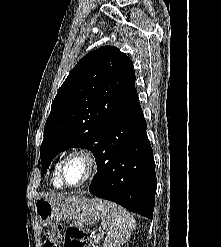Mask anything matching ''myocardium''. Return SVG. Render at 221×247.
Returning <instances> with one entry per match:
<instances>
[{
	"label": "myocardium",
	"instance_id": "f54148a6",
	"mask_svg": "<svg viewBox=\"0 0 221 247\" xmlns=\"http://www.w3.org/2000/svg\"><path fill=\"white\" fill-rule=\"evenodd\" d=\"M72 158H81L86 165V174L77 184H69L65 178V168L68 161ZM97 171V158L95 153L86 147H76L70 150L62 159L59 169V177L63 185L69 188H79L89 182Z\"/></svg>",
	"mask_w": 221,
	"mask_h": 247
}]
</instances>
